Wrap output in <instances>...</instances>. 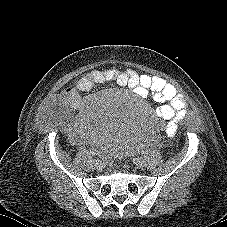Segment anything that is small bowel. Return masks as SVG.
Instances as JSON below:
<instances>
[{
    "mask_svg": "<svg viewBox=\"0 0 227 227\" xmlns=\"http://www.w3.org/2000/svg\"><path fill=\"white\" fill-rule=\"evenodd\" d=\"M105 82L128 87L140 98L152 94L154 100L160 103L154 115L161 121V129L169 139L175 137V127L185 115V101L173 84L159 76L140 75L133 70H94L77 78L73 85L66 88L56 99L74 110H84L88 100L83 98L82 94ZM59 127L78 145L86 143L89 139L88 131H92L84 113L76 117L63 116Z\"/></svg>",
    "mask_w": 227,
    "mask_h": 227,
    "instance_id": "1",
    "label": "small bowel"
}]
</instances>
